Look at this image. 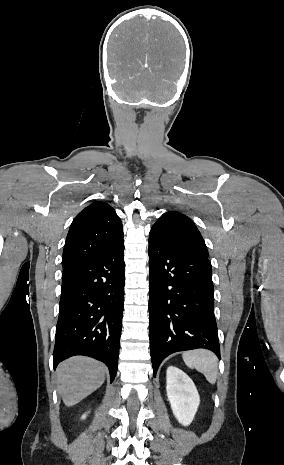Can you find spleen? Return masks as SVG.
<instances>
[{
    "instance_id": "obj_1",
    "label": "spleen",
    "mask_w": 284,
    "mask_h": 465,
    "mask_svg": "<svg viewBox=\"0 0 284 465\" xmlns=\"http://www.w3.org/2000/svg\"><path fill=\"white\" fill-rule=\"evenodd\" d=\"M182 359L189 369H196L199 373L205 375L207 381L214 385L218 373V359L211 351L206 349H198V351H186L183 353Z\"/></svg>"
}]
</instances>
